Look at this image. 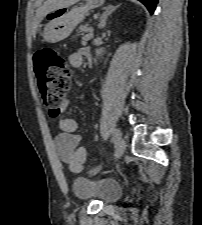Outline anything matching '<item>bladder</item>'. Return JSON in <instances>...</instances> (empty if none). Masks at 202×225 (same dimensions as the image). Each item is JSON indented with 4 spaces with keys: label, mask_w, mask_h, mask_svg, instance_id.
<instances>
[{
    "label": "bladder",
    "mask_w": 202,
    "mask_h": 225,
    "mask_svg": "<svg viewBox=\"0 0 202 225\" xmlns=\"http://www.w3.org/2000/svg\"><path fill=\"white\" fill-rule=\"evenodd\" d=\"M75 196L80 200H94L109 205L117 202L122 196L119 182L113 179H93L87 175L79 176L72 184Z\"/></svg>",
    "instance_id": "1"
}]
</instances>
